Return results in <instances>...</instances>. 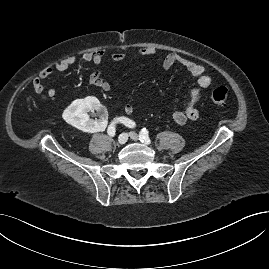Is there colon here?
I'll return each mask as SVG.
<instances>
[{
    "label": "colon",
    "instance_id": "colon-1",
    "mask_svg": "<svg viewBox=\"0 0 269 269\" xmlns=\"http://www.w3.org/2000/svg\"><path fill=\"white\" fill-rule=\"evenodd\" d=\"M210 98L214 104L225 105L230 99V94L225 86H220L212 92Z\"/></svg>",
    "mask_w": 269,
    "mask_h": 269
}]
</instances>
